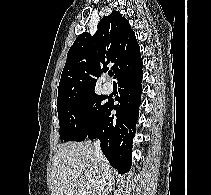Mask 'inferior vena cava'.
<instances>
[{
    "mask_svg": "<svg viewBox=\"0 0 211 195\" xmlns=\"http://www.w3.org/2000/svg\"><path fill=\"white\" fill-rule=\"evenodd\" d=\"M94 147H95L96 158H97L98 162L101 163L102 169L105 170V165H104L105 158L101 151L99 140H96L94 142ZM96 183H97L96 195H104V191H105L104 188L106 185L105 171H103V173L101 174L99 179L96 181Z\"/></svg>",
    "mask_w": 211,
    "mask_h": 195,
    "instance_id": "1",
    "label": "inferior vena cava"
}]
</instances>
